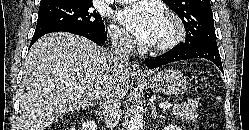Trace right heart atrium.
<instances>
[{
  "mask_svg": "<svg viewBox=\"0 0 249 130\" xmlns=\"http://www.w3.org/2000/svg\"><path fill=\"white\" fill-rule=\"evenodd\" d=\"M109 33L113 42L123 48H131L133 41L129 34L115 24L109 25Z\"/></svg>",
  "mask_w": 249,
  "mask_h": 130,
  "instance_id": "obj_1",
  "label": "right heart atrium"
}]
</instances>
